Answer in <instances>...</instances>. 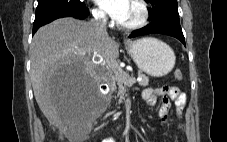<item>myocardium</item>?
I'll list each match as a JSON object with an SVG mask.
<instances>
[{"label": "myocardium", "mask_w": 227, "mask_h": 142, "mask_svg": "<svg viewBox=\"0 0 227 142\" xmlns=\"http://www.w3.org/2000/svg\"><path fill=\"white\" fill-rule=\"evenodd\" d=\"M140 10L138 19L129 24L118 23L117 26L122 30H137L144 27L150 19V8L145 0H134Z\"/></svg>", "instance_id": "1"}]
</instances>
